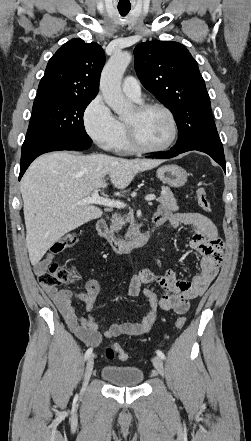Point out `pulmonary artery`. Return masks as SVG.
Returning a JSON list of instances; mask_svg holds the SVG:
<instances>
[{
  "label": "pulmonary artery",
  "instance_id": "1",
  "mask_svg": "<svg viewBox=\"0 0 251 441\" xmlns=\"http://www.w3.org/2000/svg\"><path fill=\"white\" fill-rule=\"evenodd\" d=\"M123 92L134 100L141 99V86L139 81L133 76H127L122 83Z\"/></svg>",
  "mask_w": 251,
  "mask_h": 441
}]
</instances>
